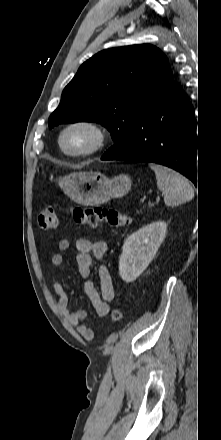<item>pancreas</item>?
<instances>
[{"label": "pancreas", "mask_w": 221, "mask_h": 440, "mask_svg": "<svg viewBox=\"0 0 221 440\" xmlns=\"http://www.w3.org/2000/svg\"><path fill=\"white\" fill-rule=\"evenodd\" d=\"M152 206H153V204L149 203V207H152Z\"/></svg>", "instance_id": "pancreas-1"}]
</instances>
